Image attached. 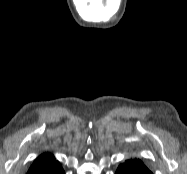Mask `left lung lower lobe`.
Here are the masks:
<instances>
[{"label":"left lung lower lobe","mask_w":187,"mask_h":174,"mask_svg":"<svg viewBox=\"0 0 187 174\" xmlns=\"http://www.w3.org/2000/svg\"><path fill=\"white\" fill-rule=\"evenodd\" d=\"M116 174H153L151 171H149L146 166L145 167H134L129 166L127 164H121Z\"/></svg>","instance_id":"left-lung-lower-lobe-1"}]
</instances>
